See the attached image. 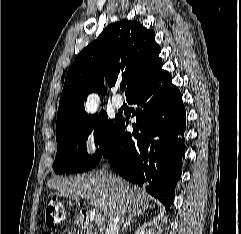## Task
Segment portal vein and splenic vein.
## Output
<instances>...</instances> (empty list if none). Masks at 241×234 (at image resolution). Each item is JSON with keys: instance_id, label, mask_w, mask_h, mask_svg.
<instances>
[{"instance_id": "obj_1", "label": "portal vein and splenic vein", "mask_w": 241, "mask_h": 234, "mask_svg": "<svg viewBox=\"0 0 241 234\" xmlns=\"http://www.w3.org/2000/svg\"><path fill=\"white\" fill-rule=\"evenodd\" d=\"M89 204L95 206L96 208L100 207V204L97 201H90ZM103 222H104L103 215L101 213H97L95 215V223L97 225H101V224H103Z\"/></svg>"}]
</instances>
